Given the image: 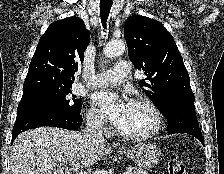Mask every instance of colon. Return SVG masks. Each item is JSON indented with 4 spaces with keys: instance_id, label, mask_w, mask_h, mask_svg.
Listing matches in <instances>:
<instances>
[{
    "instance_id": "obj_1",
    "label": "colon",
    "mask_w": 224,
    "mask_h": 174,
    "mask_svg": "<svg viewBox=\"0 0 224 174\" xmlns=\"http://www.w3.org/2000/svg\"><path fill=\"white\" fill-rule=\"evenodd\" d=\"M167 169L169 174H186V166L179 158L169 159Z\"/></svg>"
}]
</instances>
